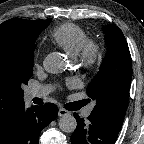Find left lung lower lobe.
I'll return each mask as SVG.
<instances>
[{"label": "left lung lower lobe", "mask_w": 144, "mask_h": 144, "mask_svg": "<svg viewBox=\"0 0 144 144\" xmlns=\"http://www.w3.org/2000/svg\"><path fill=\"white\" fill-rule=\"evenodd\" d=\"M77 127L71 136V144H114L122 125L91 112L88 121L76 113Z\"/></svg>", "instance_id": "1"}]
</instances>
